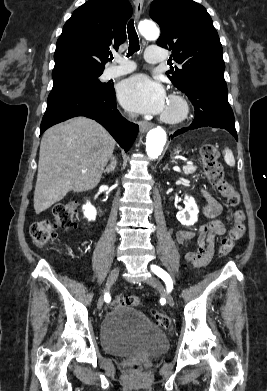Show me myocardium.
<instances>
[{
    "label": "myocardium",
    "mask_w": 267,
    "mask_h": 391,
    "mask_svg": "<svg viewBox=\"0 0 267 391\" xmlns=\"http://www.w3.org/2000/svg\"><path fill=\"white\" fill-rule=\"evenodd\" d=\"M167 104H173L177 109L174 113L164 111L161 115L162 121L168 124H179L187 119L190 107L188 101L183 96L172 94L169 96Z\"/></svg>",
    "instance_id": "f54148a6"
}]
</instances>
